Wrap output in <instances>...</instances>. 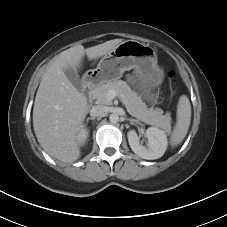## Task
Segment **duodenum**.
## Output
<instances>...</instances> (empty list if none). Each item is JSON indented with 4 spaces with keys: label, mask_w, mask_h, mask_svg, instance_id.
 <instances>
[{
    "label": "duodenum",
    "mask_w": 227,
    "mask_h": 227,
    "mask_svg": "<svg viewBox=\"0 0 227 227\" xmlns=\"http://www.w3.org/2000/svg\"><path fill=\"white\" fill-rule=\"evenodd\" d=\"M94 85H95V82H94L93 78L87 77V78L84 79V81H83V92H84V95L87 98L90 97L91 92L94 88Z\"/></svg>",
    "instance_id": "duodenum-1"
}]
</instances>
